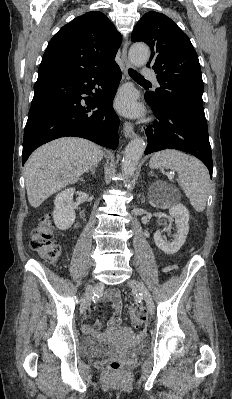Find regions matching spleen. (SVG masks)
I'll return each instance as SVG.
<instances>
[{
	"mask_svg": "<svg viewBox=\"0 0 232 399\" xmlns=\"http://www.w3.org/2000/svg\"><path fill=\"white\" fill-rule=\"evenodd\" d=\"M149 166L152 170L170 168L178 172V184L191 205L196 211H204L210 192V176L200 160L178 150H163L152 156Z\"/></svg>",
	"mask_w": 232,
	"mask_h": 399,
	"instance_id": "obj_1",
	"label": "spleen"
}]
</instances>
